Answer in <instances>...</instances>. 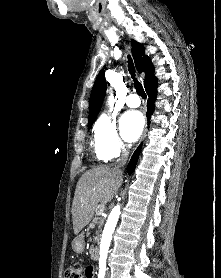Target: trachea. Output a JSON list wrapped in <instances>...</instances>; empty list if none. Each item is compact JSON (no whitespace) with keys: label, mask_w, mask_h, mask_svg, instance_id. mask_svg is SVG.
Here are the masks:
<instances>
[{"label":"trachea","mask_w":221,"mask_h":278,"mask_svg":"<svg viewBox=\"0 0 221 278\" xmlns=\"http://www.w3.org/2000/svg\"><path fill=\"white\" fill-rule=\"evenodd\" d=\"M128 67H129V72L131 74V77L133 78L134 81V86L136 89V92L139 96H141L143 99H146V93L143 89V86L140 82H138V80L135 77V69H134V65L132 62V59L130 58V56H128Z\"/></svg>","instance_id":"1"}]
</instances>
